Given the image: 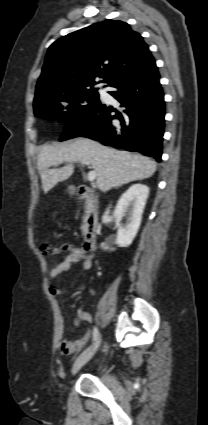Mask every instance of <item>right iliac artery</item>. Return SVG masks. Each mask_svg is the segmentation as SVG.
Segmentation results:
<instances>
[{"instance_id":"1","label":"right iliac artery","mask_w":208,"mask_h":425,"mask_svg":"<svg viewBox=\"0 0 208 425\" xmlns=\"http://www.w3.org/2000/svg\"><path fill=\"white\" fill-rule=\"evenodd\" d=\"M98 334H99L98 329L96 327H94V329H93V341L97 340Z\"/></svg>"}]
</instances>
